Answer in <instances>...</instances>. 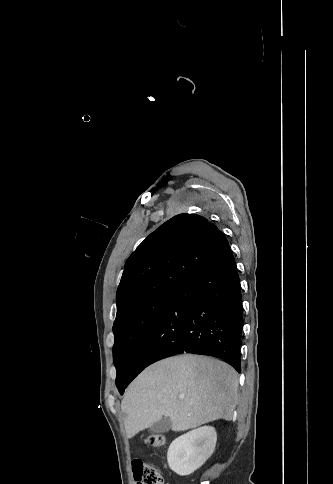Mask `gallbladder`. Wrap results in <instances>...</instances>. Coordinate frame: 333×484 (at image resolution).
Instances as JSON below:
<instances>
[{"mask_svg":"<svg viewBox=\"0 0 333 484\" xmlns=\"http://www.w3.org/2000/svg\"><path fill=\"white\" fill-rule=\"evenodd\" d=\"M172 427L171 420L167 417L162 418L161 420L155 422L151 427L150 431L152 433H166Z\"/></svg>","mask_w":333,"mask_h":484,"instance_id":"bac80fb5","label":"gallbladder"}]
</instances>
